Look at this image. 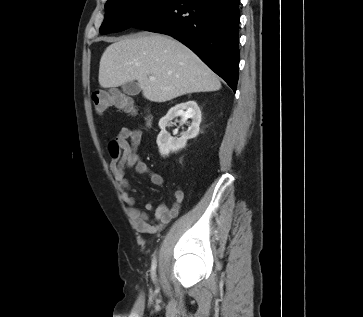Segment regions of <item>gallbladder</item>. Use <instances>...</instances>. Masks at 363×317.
Masks as SVG:
<instances>
[{
    "mask_svg": "<svg viewBox=\"0 0 363 317\" xmlns=\"http://www.w3.org/2000/svg\"><path fill=\"white\" fill-rule=\"evenodd\" d=\"M122 90L129 96H136L140 93L141 89L139 85L134 81H129L122 85Z\"/></svg>",
    "mask_w": 363,
    "mask_h": 317,
    "instance_id": "obj_1",
    "label": "gallbladder"
}]
</instances>
